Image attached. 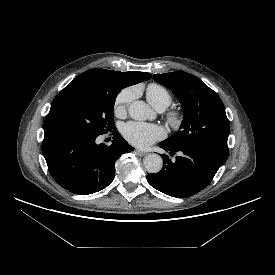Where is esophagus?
Here are the masks:
<instances>
[{
  "instance_id": "1",
  "label": "esophagus",
  "mask_w": 275,
  "mask_h": 275,
  "mask_svg": "<svg viewBox=\"0 0 275 275\" xmlns=\"http://www.w3.org/2000/svg\"><path fill=\"white\" fill-rule=\"evenodd\" d=\"M137 155L143 157L147 155V152L141 151V150H136Z\"/></svg>"
}]
</instances>
